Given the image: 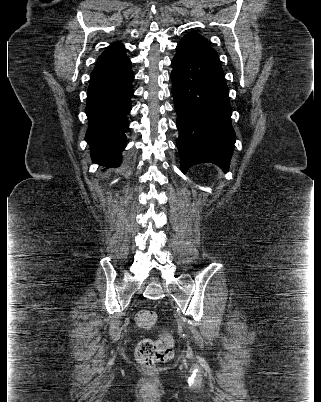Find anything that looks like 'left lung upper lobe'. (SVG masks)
<instances>
[{
  "instance_id": "obj_1",
  "label": "left lung upper lobe",
  "mask_w": 321,
  "mask_h": 402,
  "mask_svg": "<svg viewBox=\"0 0 321 402\" xmlns=\"http://www.w3.org/2000/svg\"><path fill=\"white\" fill-rule=\"evenodd\" d=\"M185 40H187V41H199V42H202L204 44L209 45V43L206 41V39L203 36H201L200 34L196 33V32H191V33L186 34L182 38L181 41H185Z\"/></svg>"
}]
</instances>
